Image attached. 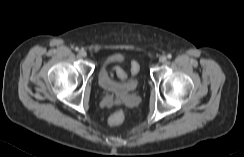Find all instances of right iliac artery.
<instances>
[{
  "label": "right iliac artery",
  "mask_w": 244,
  "mask_h": 157,
  "mask_svg": "<svg viewBox=\"0 0 244 157\" xmlns=\"http://www.w3.org/2000/svg\"><path fill=\"white\" fill-rule=\"evenodd\" d=\"M75 50H76V51H79V48H78V47H76V48H75Z\"/></svg>",
  "instance_id": "obj_1"
}]
</instances>
